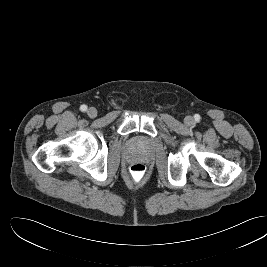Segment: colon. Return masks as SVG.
Listing matches in <instances>:
<instances>
[{
  "label": "colon",
  "instance_id": "colon-1",
  "mask_svg": "<svg viewBox=\"0 0 267 267\" xmlns=\"http://www.w3.org/2000/svg\"><path fill=\"white\" fill-rule=\"evenodd\" d=\"M130 176L135 182L141 181L146 175V167L142 163H134L129 169Z\"/></svg>",
  "mask_w": 267,
  "mask_h": 267
}]
</instances>
